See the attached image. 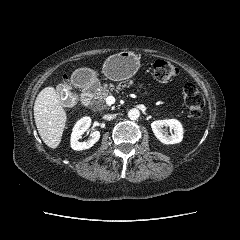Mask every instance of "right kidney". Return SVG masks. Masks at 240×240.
Masks as SVG:
<instances>
[{
  "label": "right kidney",
  "mask_w": 240,
  "mask_h": 240,
  "mask_svg": "<svg viewBox=\"0 0 240 240\" xmlns=\"http://www.w3.org/2000/svg\"><path fill=\"white\" fill-rule=\"evenodd\" d=\"M91 125V118L90 117H83L80 120H78L73 128L72 134H71V147L74 150H84L91 148L100 138V132L99 131H93L91 133V138L88 141L80 142L79 138L81 135L89 129Z\"/></svg>",
  "instance_id": "ca27d5eb"
}]
</instances>
